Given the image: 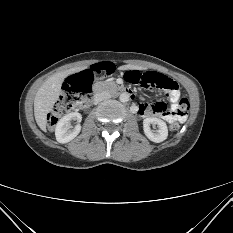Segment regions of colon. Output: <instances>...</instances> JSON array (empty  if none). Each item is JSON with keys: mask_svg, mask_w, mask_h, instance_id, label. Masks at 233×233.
I'll return each instance as SVG.
<instances>
[{"mask_svg": "<svg viewBox=\"0 0 233 233\" xmlns=\"http://www.w3.org/2000/svg\"><path fill=\"white\" fill-rule=\"evenodd\" d=\"M115 72L111 63H103L92 66L90 69L77 73L66 79L64 84V93L54 105L51 113L48 116V126L53 128L58 120L69 112L75 105L86 103L92 93V83L95 79L103 78ZM125 78L128 82L139 84L144 88H159L168 90L175 86L174 82L167 77L155 73L139 71L125 72ZM160 106V103L157 104ZM189 110V101L185 98L181 99L178 104L179 113L186 115ZM172 131L180 128L179 122L169 124Z\"/></svg>", "mask_w": 233, "mask_h": 233, "instance_id": "5ec220e1", "label": "colon"}]
</instances>
